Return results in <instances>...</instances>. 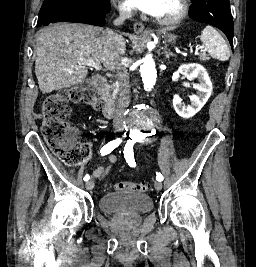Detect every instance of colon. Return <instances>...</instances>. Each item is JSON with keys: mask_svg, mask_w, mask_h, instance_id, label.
I'll return each mask as SVG.
<instances>
[{"mask_svg": "<svg viewBox=\"0 0 256 267\" xmlns=\"http://www.w3.org/2000/svg\"><path fill=\"white\" fill-rule=\"evenodd\" d=\"M90 106L101 109V104L93 90L77 85L73 88L53 93L44 100L42 133L50 150L66 165L80 164L90 157V148L86 144L77 145L74 142L75 132L66 123L70 115L69 103ZM112 188L118 191L146 192L150 185L142 182H117Z\"/></svg>", "mask_w": 256, "mask_h": 267, "instance_id": "5ec220e1", "label": "colon"}]
</instances>
